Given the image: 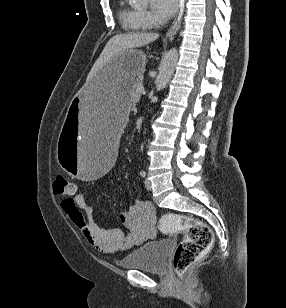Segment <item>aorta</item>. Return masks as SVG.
<instances>
[{
    "mask_svg": "<svg viewBox=\"0 0 286 308\" xmlns=\"http://www.w3.org/2000/svg\"><path fill=\"white\" fill-rule=\"evenodd\" d=\"M133 2L137 4H146L148 0H133ZM178 56V50L172 48L162 58L159 67V74L155 81L157 91L164 89L170 81L177 65ZM153 100H157V97H153Z\"/></svg>",
    "mask_w": 286,
    "mask_h": 308,
    "instance_id": "762f6f07",
    "label": "aorta"
}]
</instances>
